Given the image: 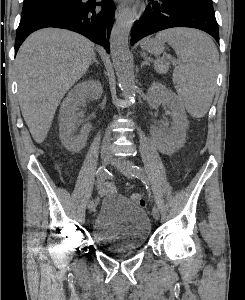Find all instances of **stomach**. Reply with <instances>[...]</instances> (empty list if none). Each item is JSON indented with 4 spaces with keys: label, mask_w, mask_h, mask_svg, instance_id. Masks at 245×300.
<instances>
[{
    "label": "stomach",
    "mask_w": 245,
    "mask_h": 300,
    "mask_svg": "<svg viewBox=\"0 0 245 300\" xmlns=\"http://www.w3.org/2000/svg\"><path fill=\"white\" fill-rule=\"evenodd\" d=\"M141 48L151 54L158 55L164 51V43L157 38H147L141 43Z\"/></svg>",
    "instance_id": "1"
}]
</instances>
